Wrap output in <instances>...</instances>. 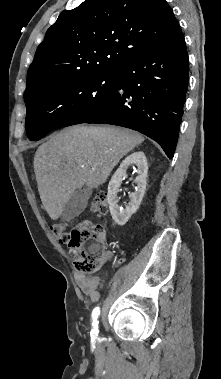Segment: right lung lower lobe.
<instances>
[{
  "label": "right lung lower lobe",
  "mask_w": 221,
  "mask_h": 379,
  "mask_svg": "<svg viewBox=\"0 0 221 379\" xmlns=\"http://www.w3.org/2000/svg\"><path fill=\"white\" fill-rule=\"evenodd\" d=\"M189 79L182 31L132 57L117 71L109 100L79 123L112 124L137 130L160 144L172 159Z\"/></svg>",
  "instance_id": "1"
}]
</instances>
